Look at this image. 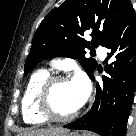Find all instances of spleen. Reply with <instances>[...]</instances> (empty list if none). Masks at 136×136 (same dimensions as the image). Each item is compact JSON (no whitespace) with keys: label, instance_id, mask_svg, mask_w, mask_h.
Returning <instances> with one entry per match:
<instances>
[{"label":"spleen","instance_id":"3e777b00","mask_svg":"<svg viewBox=\"0 0 136 136\" xmlns=\"http://www.w3.org/2000/svg\"><path fill=\"white\" fill-rule=\"evenodd\" d=\"M83 136H94V135H91V134H84Z\"/></svg>","mask_w":136,"mask_h":136}]
</instances>
